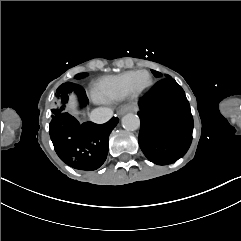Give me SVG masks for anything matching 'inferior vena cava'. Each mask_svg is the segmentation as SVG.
I'll use <instances>...</instances> for the list:
<instances>
[{
  "instance_id": "1",
  "label": "inferior vena cava",
  "mask_w": 241,
  "mask_h": 241,
  "mask_svg": "<svg viewBox=\"0 0 241 241\" xmlns=\"http://www.w3.org/2000/svg\"><path fill=\"white\" fill-rule=\"evenodd\" d=\"M113 116V111L108 108H96L90 113V120L97 124L109 121Z\"/></svg>"
}]
</instances>
